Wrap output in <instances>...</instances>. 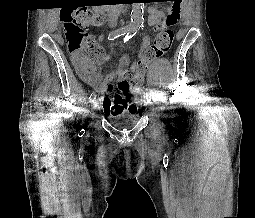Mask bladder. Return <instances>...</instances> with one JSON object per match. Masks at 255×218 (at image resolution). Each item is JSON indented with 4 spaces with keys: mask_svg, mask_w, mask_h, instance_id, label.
Returning a JSON list of instances; mask_svg holds the SVG:
<instances>
[{
    "mask_svg": "<svg viewBox=\"0 0 255 218\" xmlns=\"http://www.w3.org/2000/svg\"><path fill=\"white\" fill-rule=\"evenodd\" d=\"M138 114L134 112L114 113L108 115V121L118 129L132 128L137 122Z\"/></svg>",
    "mask_w": 255,
    "mask_h": 218,
    "instance_id": "bladder-1",
    "label": "bladder"
}]
</instances>
